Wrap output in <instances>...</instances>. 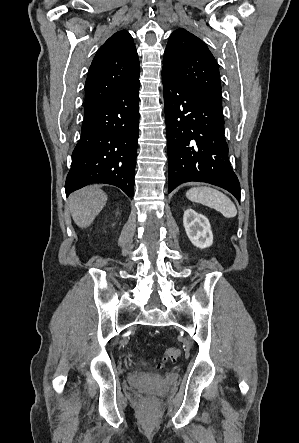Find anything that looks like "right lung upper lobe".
<instances>
[{
    "label": "right lung upper lobe",
    "instance_id": "right-lung-upper-lobe-1",
    "mask_svg": "<svg viewBox=\"0 0 299 443\" xmlns=\"http://www.w3.org/2000/svg\"><path fill=\"white\" fill-rule=\"evenodd\" d=\"M139 59L132 36L126 30L112 35L98 50L85 85V111L139 81Z\"/></svg>",
    "mask_w": 299,
    "mask_h": 443
}]
</instances>
